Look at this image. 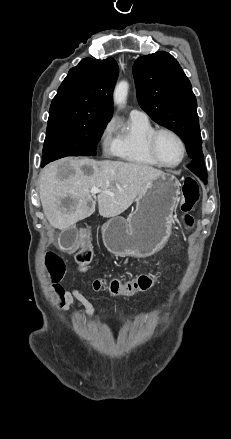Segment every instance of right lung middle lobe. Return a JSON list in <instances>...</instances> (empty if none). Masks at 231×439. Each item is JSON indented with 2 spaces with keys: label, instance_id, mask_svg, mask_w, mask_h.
Returning a JSON list of instances; mask_svg holds the SVG:
<instances>
[{
  "label": "right lung middle lobe",
  "instance_id": "dd1d6c3e",
  "mask_svg": "<svg viewBox=\"0 0 231 439\" xmlns=\"http://www.w3.org/2000/svg\"><path fill=\"white\" fill-rule=\"evenodd\" d=\"M109 121L89 115L49 117L42 166L66 156L96 155L97 143Z\"/></svg>",
  "mask_w": 231,
  "mask_h": 439
}]
</instances>
